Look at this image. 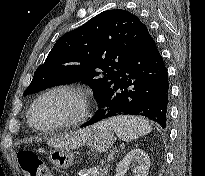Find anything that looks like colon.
<instances>
[{"instance_id": "obj_1", "label": "colon", "mask_w": 205, "mask_h": 176, "mask_svg": "<svg viewBox=\"0 0 205 176\" xmlns=\"http://www.w3.org/2000/svg\"><path fill=\"white\" fill-rule=\"evenodd\" d=\"M17 162L23 176H48L49 170L40 157L31 150H19Z\"/></svg>"}]
</instances>
